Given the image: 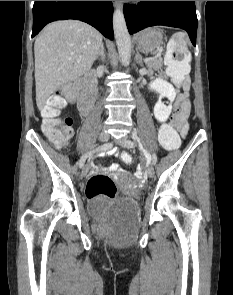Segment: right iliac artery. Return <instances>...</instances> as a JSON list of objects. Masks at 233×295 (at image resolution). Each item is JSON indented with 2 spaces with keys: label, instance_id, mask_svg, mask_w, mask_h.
I'll return each mask as SVG.
<instances>
[{
  "label": "right iliac artery",
  "instance_id": "1",
  "mask_svg": "<svg viewBox=\"0 0 233 295\" xmlns=\"http://www.w3.org/2000/svg\"><path fill=\"white\" fill-rule=\"evenodd\" d=\"M109 147H110V144H101V147H96V150L86 153L84 156L81 157V159L79 161L80 168L83 167L87 157L91 156L93 153H95V151H96V153H100V150H108Z\"/></svg>",
  "mask_w": 233,
  "mask_h": 295
}]
</instances>
